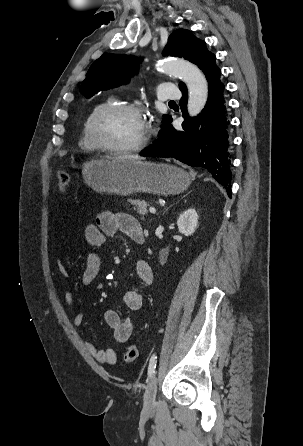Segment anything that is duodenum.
<instances>
[{"label": "duodenum", "mask_w": 303, "mask_h": 446, "mask_svg": "<svg viewBox=\"0 0 303 446\" xmlns=\"http://www.w3.org/2000/svg\"><path fill=\"white\" fill-rule=\"evenodd\" d=\"M140 242L143 243V242H144V238H141V239H140Z\"/></svg>", "instance_id": "obj_1"}]
</instances>
